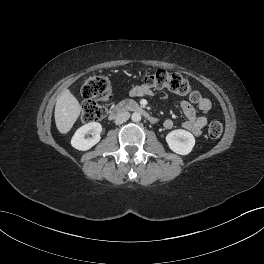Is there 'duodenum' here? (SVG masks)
I'll use <instances>...</instances> for the list:
<instances>
[{
	"label": "duodenum",
	"mask_w": 264,
	"mask_h": 264,
	"mask_svg": "<svg viewBox=\"0 0 264 264\" xmlns=\"http://www.w3.org/2000/svg\"><path fill=\"white\" fill-rule=\"evenodd\" d=\"M131 111L136 112L141 115H143L145 118H147L151 122H155L156 118L150 115L147 110L141 106L140 104L132 101V100H125L117 104L108 115L109 120H113L117 118L119 115H121L124 112Z\"/></svg>",
	"instance_id": "obj_1"
}]
</instances>
